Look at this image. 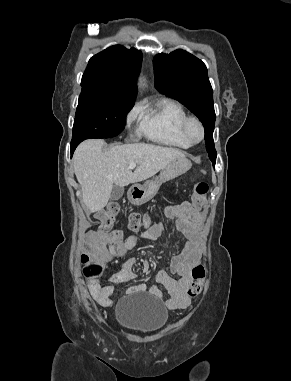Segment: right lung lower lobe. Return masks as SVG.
<instances>
[{"label":"right lung lower lobe","mask_w":291,"mask_h":381,"mask_svg":"<svg viewBox=\"0 0 291 381\" xmlns=\"http://www.w3.org/2000/svg\"><path fill=\"white\" fill-rule=\"evenodd\" d=\"M78 144H79V143H72V142H71V157H72V155H73L74 150H75L76 147L78 146Z\"/></svg>","instance_id":"right-lung-lower-lobe-1"}]
</instances>
